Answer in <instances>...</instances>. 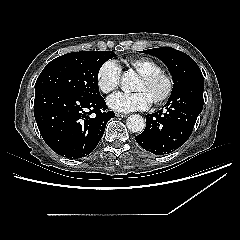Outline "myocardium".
I'll use <instances>...</instances> for the list:
<instances>
[{
  "mask_svg": "<svg viewBox=\"0 0 240 240\" xmlns=\"http://www.w3.org/2000/svg\"><path fill=\"white\" fill-rule=\"evenodd\" d=\"M139 78L146 83H152L154 81L160 80L165 84L164 91L160 96H158L155 100L152 101L153 103L155 104L162 103L171 95L172 87H173L172 81L168 76H166L160 70H153L150 72L139 74Z\"/></svg>",
  "mask_w": 240,
  "mask_h": 240,
  "instance_id": "f54148a6",
  "label": "myocardium"
}]
</instances>
